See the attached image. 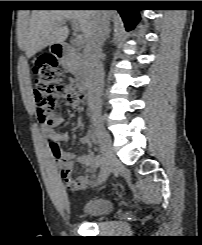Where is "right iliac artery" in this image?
<instances>
[{"instance_id": "82829eb1", "label": "right iliac artery", "mask_w": 202, "mask_h": 245, "mask_svg": "<svg viewBox=\"0 0 202 245\" xmlns=\"http://www.w3.org/2000/svg\"><path fill=\"white\" fill-rule=\"evenodd\" d=\"M88 136L96 143H99L98 141V134L94 127H91L88 129ZM104 160V155L102 152V149H100L99 153L97 154L95 161L97 165H101Z\"/></svg>"}]
</instances>
